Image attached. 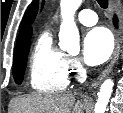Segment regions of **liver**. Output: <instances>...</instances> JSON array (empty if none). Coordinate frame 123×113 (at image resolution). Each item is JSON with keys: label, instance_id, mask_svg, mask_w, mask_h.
Masks as SVG:
<instances>
[{"label": "liver", "instance_id": "obj_1", "mask_svg": "<svg viewBox=\"0 0 123 113\" xmlns=\"http://www.w3.org/2000/svg\"><path fill=\"white\" fill-rule=\"evenodd\" d=\"M85 104L72 93L28 95L15 98L14 113H83Z\"/></svg>", "mask_w": 123, "mask_h": 113}]
</instances>
